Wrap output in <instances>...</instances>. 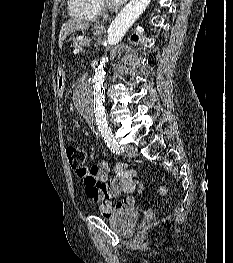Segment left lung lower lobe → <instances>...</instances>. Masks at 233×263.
Wrapping results in <instances>:
<instances>
[{"label":"left lung lower lobe","instance_id":"obj_1","mask_svg":"<svg viewBox=\"0 0 233 263\" xmlns=\"http://www.w3.org/2000/svg\"><path fill=\"white\" fill-rule=\"evenodd\" d=\"M132 39H133V40H137L138 37H137L136 35H133V36H132Z\"/></svg>","mask_w":233,"mask_h":263}]
</instances>
